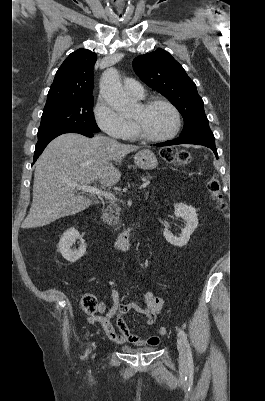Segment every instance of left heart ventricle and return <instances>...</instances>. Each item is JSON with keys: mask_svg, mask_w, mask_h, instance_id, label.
I'll list each match as a JSON object with an SVG mask.
<instances>
[{"mask_svg": "<svg viewBox=\"0 0 265 401\" xmlns=\"http://www.w3.org/2000/svg\"><path fill=\"white\" fill-rule=\"evenodd\" d=\"M141 131L149 136H162L172 132L176 126L174 113L166 106L158 104L143 109L141 104L132 118Z\"/></svg>", "mask_w": 265, "mask_h": 401, "instance_id": "b2bd125f", "label": "left heart ventricle"}]
</instances>
